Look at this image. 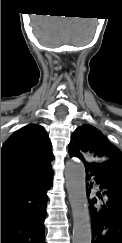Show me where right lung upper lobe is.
<instances>
[{"instance_id":"obj_1","label":"right lung upper lobe","mask_w":122,"mask_h":243,"mask_svg":"<svg viewBox=\"0 0 122 243\" xmlns=\"http://www.w3.org/2000/svg\"><path fill=\"white\" fill-rule=\"evenodd\" d=\"M52 145L45 129L29 124L4 143L1 149V192L52 172Z\"/></svg>"}]
</instances>
